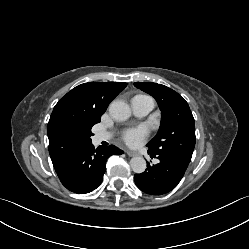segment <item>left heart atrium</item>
Here are the masks:
<instances>
[{"label":"left heart atrium","mask_w":249,"mask_h":249,"mask_svg":"<svg viewBox=\"0 0 249 249\" xmlns=\"http://www.w3.org/2000/svg\"><path fill=\"white\" fill-rule=\"evenodd\" d=\"M147 136V130L144 127L130 128L122 133V140L130 145L136 146L142 143Z\"/></svg>","instance_id":"39dd6f15"}]
</instances>
